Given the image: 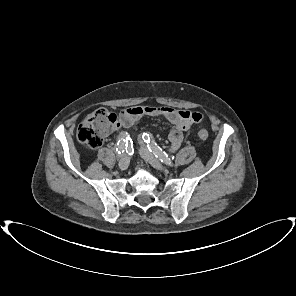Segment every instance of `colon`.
<instances>
[{"mask_svg": "<svg viewBox=\"0 0 296 296\" xmlns=\"http://www.w3.org/2000/svg\"><path fill=\"white\" fill-rule=\"evenodd\" d=\"M192 118L195 122L202 120L203 116L194 113ZM117 125V115L106 109H98L88 115L77 128L78 140L89 148H98L102 145L103 138ZM198 138L202 141L207 140L208 132L200 130Z\"/></svg>", "mask_w": 296, "mask_h": 296, "instance_id": "obj_1", "label": "colon"}]
</instances>
